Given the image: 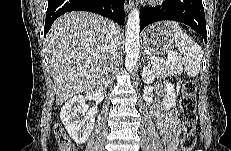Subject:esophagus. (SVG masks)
<instances>
[{
  "label": "esophagus",
  "mask_w": 231,
  "mask_h": 151,
  "mask_svg": "<svg viewBox=\"0 0 231 151\" xmlns=\"http://www.w3.org/2000/svg\"><path fill=\"white\" fill-rule=\"evenodd\" d=\"M133 4H134V2L132 0H126L125 1V9L127 12L132 8Z\"/></svg>",
  "instance_id": "34e87169"
}]
</instances>
